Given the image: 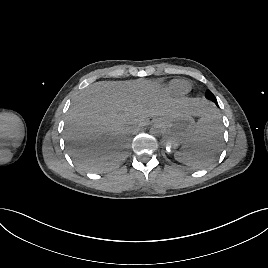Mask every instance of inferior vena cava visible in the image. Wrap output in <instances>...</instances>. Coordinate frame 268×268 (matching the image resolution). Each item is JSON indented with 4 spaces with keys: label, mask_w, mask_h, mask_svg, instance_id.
Listing matches in <instances>:
<instances>
[{
    "label": "inferior vena cava",
    "mask_w": 268,
    "mask_h": 268,
    "mask_svg": "<svg viewBox=\"0 0 268 268\" xmlns=\"http://www.w3.org/2000/svg\"><path fill=\"white\" fill-rule=\"evenodd\" d=\"M136 130V127L134 129H132V131Z\"/></svg>",
    "instance_id": "602c4592"
}]
</instances>
